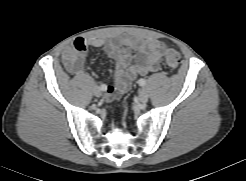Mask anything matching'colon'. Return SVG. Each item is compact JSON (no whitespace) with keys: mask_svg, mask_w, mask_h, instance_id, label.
<instances>
[{"mask_svg":"<svg viewBox=\"0 0 246 181\" xmlns=\"http://www.w3.org/2000/svg\"><path fill=\"white\" fill-rule=\"evenodd\" d=\"M166 65L171 70H176L180 66L181 58L179 53L174 49H166L164 51Z\"/></svg>","mask_w":246,"mask_h":181,"instance_id":"colon-1","label":"colon"}]
</instances>
